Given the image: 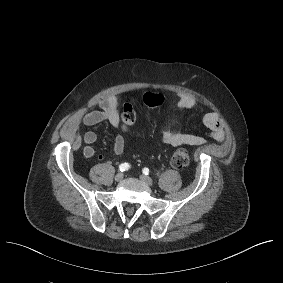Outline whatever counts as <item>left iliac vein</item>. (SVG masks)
Masks as SVG:
<instances>
[{"label": "left iliac vein", "instance_id": "obj_1", "mask_svg": "<svg viewBox=\"0 0 283 283\" xmlns=\"http://www.w3.org/2000/svg\"><path fill=\"white\" fill-rule=\"evenodd\" d=\"M140 180H141L142 182H144L145 184H147L148 186H152V185H153L152 179H151L150 177H148V176L141 175V176H140Z\"/></svg>", "mask_w": 283, "mask_h": 283}]
</instances>
